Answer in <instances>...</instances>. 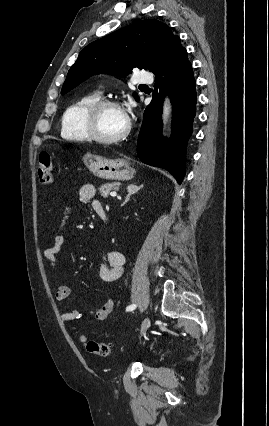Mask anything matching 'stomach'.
I'll list each match as a JSON object with an SVG mask.
<instances>
[{
  "label": "stomach",
  "instance_id": "0dacf381",
  "mask_svg": "<svg viewBox=\"0 0 269 426\" xmlns=\"http://www.w3.org/2000/svg\"><path fill=\"white\" fill-rule=\"evenodd\" d=\"M83 161L93 175L102 179L124 181L132 179L135 174L131 164L124 158L112 160L87 153Z\"/></svg>",
  "mask_w": 269,
  "mask_h": 426
}]
</instances>
